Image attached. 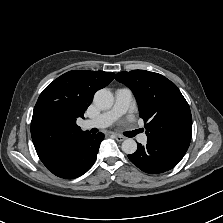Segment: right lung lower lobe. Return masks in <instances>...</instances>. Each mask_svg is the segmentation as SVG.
Listing matches in <instances>:
<instances>
[{
	"instance_id": "right-lung-lower-lobe-1",
	"label": "right lung lower lobe",
	"mask_w": 223,
	"mask_h": 223,
	"mask_svg": "<svg viewBox=\"0 0 223 223\" xmlns=\"http://www.w3.org/2000/svg\"><path fill=\"white\" fill-rule=\"evenodd\" d=\"M103 138L102 133L83 135L61 159L46 167L60 178L72 179L83 175L94 164Z\"/></svg>"
}]
</instances>
